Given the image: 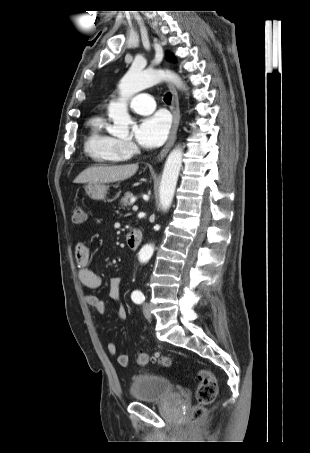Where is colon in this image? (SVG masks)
I'll return each instance as SVG.
<instances>
[{
    "label": "colon",
    "instance_id": "obj_1",
    "mask_svg": "<svg viewBox=\"0 0 310 453\" xmlns=\"http://www.w3.org/2000/svg\"><path fill=\"white\" fill-rule=\"evenodd\" d=\"M86 219V214L81 206H75L72 215V221L75 224H82ZM150 361L159 363L162 366H169L171 359L168 356L156 354L150 356L146 352H139L136 358V362L139 366H144ZM198 387L196 390L197 404L193 407L190 414V421L196 423L205 414V408L213 403L218 392V383L215 375L208 370H200L197 374Z\"/></svg>",
    "mask_w": 310,
    "mask_h": 453
}]
</instances>
